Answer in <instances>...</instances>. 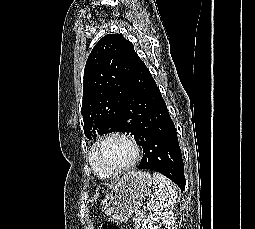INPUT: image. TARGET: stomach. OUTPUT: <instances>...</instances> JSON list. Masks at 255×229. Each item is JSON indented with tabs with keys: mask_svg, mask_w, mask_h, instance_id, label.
Wrapping results in <instances>:
<instances>
[{
	"mask_svg": "<svg viewBox=\"0 0 255 229\" xmlns=\"http://www.w3.org/2000/svg\"><path fill=\"white\" fill-rule=\"evenodd\" d=\"M153 187V180L148 172H127L105 197V214L115 221L126 222L138 211L143 199L151 194Z\"/></svg>",
	"mask_w": 255,
	"mask_h": 229,
	"instance_id": "stomach-1",
	"label": "stomach"
}]
</instances>
